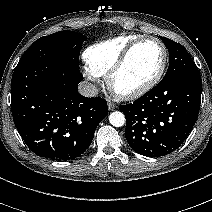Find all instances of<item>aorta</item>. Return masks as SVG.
I'll return each mask as SVG.
<instances>
[{"instance_id": "1", "label": "aorta", "mask_w": 212, "mask_h": 212, "mask_svg": "<svg viewBox=\"0 0 212 212\" xmlns=\"http://www.w3.org/2000/svg\"><path fill=\"white\" fill-rule=\"evenodd\" d=\"M109 122L114 127H121L125 124V116L122 112L114 111L109 115Z\"/></svg>"}]
</instances>
